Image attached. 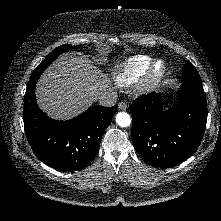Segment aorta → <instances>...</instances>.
<instances>
[{"mask_svg": "<svg viewBox=\"0 0 221 221\" xmlns=\"http://www.w3.org/2000/svg\"><path fill=\"white\" fill-rule=\"evenodd\" d=\"M116 123L120 127H128L131 124L130 115L126 112H119L116 115Z\"/></svg>", "mask_w": 221, "mask_h": 221, "instance_id": "aorta-1", "label": "aorta"}]
</instances>
